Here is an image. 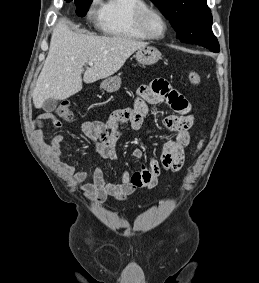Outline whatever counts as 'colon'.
I'll use <instances>...</instances> for the list:
<instances>
[{
	"mask_svg": "<svg viewBox=\"0 0 259 283\" xmlns=\"http://www.w3.org/2000/svg\"><path fill=\"white\" fill-rule=\"evenodd\" d=\"M188 79L192 85L199 86L202 83V78L200 74L194 70L191 69L188 72ZM56 115L63 119V120H70L73 118V110L71 102L68 100L63 101L56 109L55 111Z\"/></svg>",
	"mask_w": 259,
	"mask_h": 283,
	"instance_id": "colon-1",
	"label": "colon"
}]
</instances>
